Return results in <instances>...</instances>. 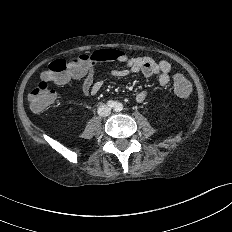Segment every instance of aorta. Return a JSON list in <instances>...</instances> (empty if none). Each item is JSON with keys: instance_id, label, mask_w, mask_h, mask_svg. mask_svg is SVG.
Here are the masks:
<instances>
[{"instance_id": "aorta-1", "label": "aorta", "mask_w": 232, "mask_h": 232, "mask_svg": "<svg viewBox=\"0 0 232 232\" xmlns=\"http://www.w3.org/2000/svg\"><path fill=\"white\" fill-rule=\"evenodd\" d=\"M116 107H117V110H119V111L122 110V104L119 103V104H117Z\"/></svg>"}]
</instances>
